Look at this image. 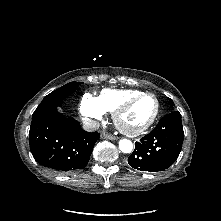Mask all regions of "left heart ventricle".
I'll use <instances>...</instances> for the list:
<instances>
[{
    "label": "left heart ventricle",
    "instance_id": "1",
    "mask_svg": "<svg viewBox=\"0 0 221 221\" xmlns=\"http://www.w3.org/2000/svg\"><path fill=\"white\" fill-rule=\"evenodd\" d=\"M156 101L151 96H146L134 102L121 116V122L130 129L145 125L153 116Z\"/></svg>",
    "mask_w": 221,
    "mask_h": 221
}]
</instances>
